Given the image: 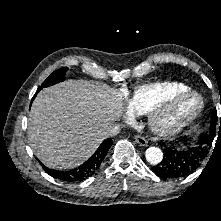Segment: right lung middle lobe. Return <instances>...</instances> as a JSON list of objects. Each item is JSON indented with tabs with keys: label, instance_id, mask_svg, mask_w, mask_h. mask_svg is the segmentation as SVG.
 I'll use <instances>...</instances> for the list:
<instances>
[{
	"label": "right lung middle lobe",
	"instance_id": "1",
	"mask_svg": "<svg viewBox=\"0 0 221 221\" xmlns=\"http://www.w3.org/2000/svg\"><path fill=\"white\" fill-rule=\"evenodd\" d=\"M68 68H61L60 70L54 71L42 84V87H48L57 82H61L65 79V72ZM41 87V88H42Z\"/></svg>",
	"mask_w": 221,
	"mask_h": 221
}]
</instances>
